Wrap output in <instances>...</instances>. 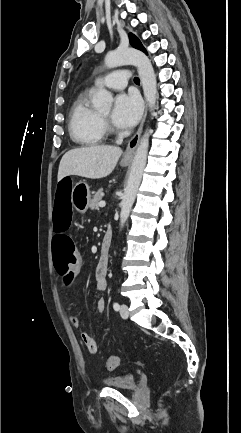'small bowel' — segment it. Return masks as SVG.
Instances as JSON below:
<instances>
[{"mask_svg": "<svg viewBox=\"0 0 241 433\" xmlns=\"http://www.w3.org/2000/svg\"><path fill=\"white\" fill-rule=\"evenodd\" d=\"M107 270H108V260L100 257L95 268V278H96V289L99 292H103L107 289ZM106 307V302L104 298H100L97 301L96 309L99 313L104 312ZM70 323L73 327L78 328L80 326V320L77 316L70 317ZM81 339L85 344L87 350L91 354H95L98 351V343L96 340L86 332L81 333Z\"/></svg>", "mask_w": 241, "mask_h": 433, "instance_id": "1", "label": "small bowel"}]
</instances>
